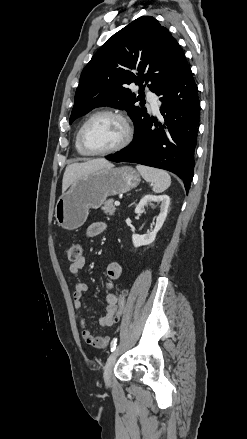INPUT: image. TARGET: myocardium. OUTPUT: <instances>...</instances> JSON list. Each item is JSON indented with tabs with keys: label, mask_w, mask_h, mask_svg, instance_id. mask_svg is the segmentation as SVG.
<instances>
[{
	"label": "myocardium",
	"mask_w": 247,
	"mask_h": 439,
	"mask_svg": "<svg viewBox=\"0 0 247 439\" xmlns=\"http://www.w3.org/2000/svg\"><path fill=\"white\" fill-rule=\"evenodd\" d=\"M99 116H113V117H116L117 119H119L122 122V124L124 125L125 135H124L123 140L117 146H115L111 149H108V150H104V151H93L87 147V145L85 143L84 135H85V130H86L87 126L89 125V123ZM133 135H134V130H133L132 123H131L129 117L124 112L119 111V110H113V109H104V110H100V111L93 113L83 123V125L79 129L78 140H79V145H80L81 149L83 150V152L86 155L105 156V155L119 152V151L123 150L124 148H126L133 140Z\"/></svg>",
	"instance_id": "1"
}]
</instances>
